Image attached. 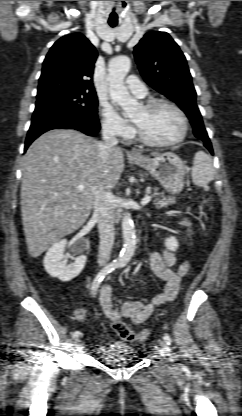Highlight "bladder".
<instances>
[{
    "label": "bladder",
    "instance_id": "31cf9c89",
    "mask_svg": "<svg viewBox=\"0 0 242 416\" xmlns=\"http://www.w3.org/2000/svg\"><path fill=\"white\" fill-rule=\"evenodd\" d=\"M132 355L133 351L131 348L123 346L120 351L108 354L109 357L106 359V362L115 366L128 364L132 362Z\"/></svg>",
    "mask_w": 242,
    "mask_h": 416
}]
</instances>
